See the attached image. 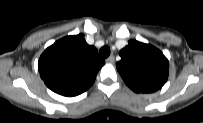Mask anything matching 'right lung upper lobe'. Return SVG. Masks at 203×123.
<instances>
[{"label": "right lung upper lobe", "mask_w": 203, "mask_h": 123, "mask_svg": "<svg viewBox=\"0 0 203 123\" xmlns=\"http://www.w3.org/2000/svg\"><path fill=\"white\" fill-rule=\"evenodd\" d=\"M105 64L97 49L89 46L83 34L67 36L49 46L40 56L38 70L52 91L67 97L85 92Z\"/></svg>", "instance_id": "1"}]
</instances>
